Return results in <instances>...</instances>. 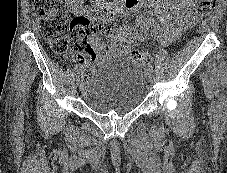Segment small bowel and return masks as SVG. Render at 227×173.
<instances>
[{"instance_id": "1", "label": "small bowel", "mask_w": 227, "mask_h": 173, "mask_svg": "<svg viewBox=\"0 0 227 173\" xmlns=\"http://www.w3.org/2000/svg\"><path fill=\"white\" fill-rule=\"evenodd\" d=\"M140 6L148 9V15L137 16L134 25H124L115 32L100 33L106 39L105 44L99 36L90 38L101 58L131 56L132 42L143 41L149 36L159 37L165 43H173L200 20L195 0H132L122 14H133ZM150 16H155L157 22ZM79 62L84 68H90L95 62V56L80 54Z\"/></svg>"}]
</instances>
